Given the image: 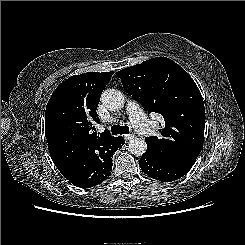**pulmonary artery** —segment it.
I'll use <instances>...</instances> for the list:
<instances>
[{"label":"pulmonary artery","instance_id":"obj_1","mask_svg":"<svg viewBox=\"0 0 245 245\" xmlns=\"http://www.w3.org/2000/svg\"><path fill=\"white\" fill-rule=\"evenodd\" d=\"M127 114L133 127L144 137L152 136L154 132V126L152 122L147 118L142 107L134 102L130 101L127 104Z\"/></svg>","mask_w":245,"mask_h":245}]
</instances>
